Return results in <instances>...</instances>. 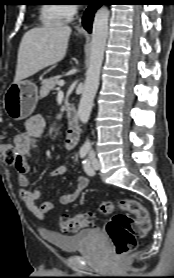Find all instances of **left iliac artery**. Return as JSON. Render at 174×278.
I'll return each mask as SVG.
<instances>
[{
    "label": "left iliac artery",
    "mask_w": 174,
    "mask_h": 278,
    "mask_svg": "<svg viewBox=\"0 0 174 278\" xmlns=\"http://www.w3.org/2000/svg\"><path fill=\"white\" fill-rule=\"evenodd\" d=\"M83 168H84V171H85L88 175H90V176L94 175V171H93V169L91 168L90 162H89L88 159H85V160L83 161Z\"/></svg>",
    "instance_id": "44dca946"
}]
</instances>
